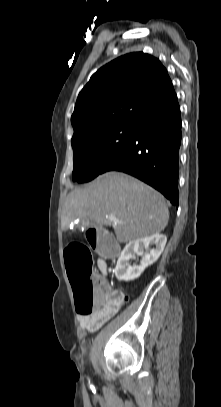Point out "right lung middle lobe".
<instances>
[{
	"label": "right lung middle lobe",
	"instance_id": "1",
	"mask_svg": "<svg viewBox=\"0 0 221 407\" xmlns=\"http://www.w3.org/2000/svg\"><path fill=\"white\" fill-rule=\"evenodd\" d=\"M136 124H121L92 132L72 144L74 153L73 181L88 182L128 143Z\"/></svg>",
	"mask_w": 221,
	"mask_h": 407
}]
</instances>
